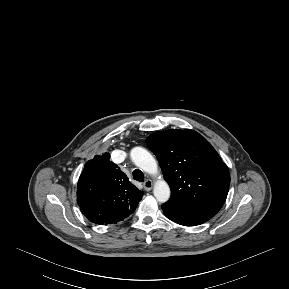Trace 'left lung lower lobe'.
Instances as JSON below:
<instances>
[{"mask_svg": "<svg viewBox=\"0 0 289 289\" xmlns=\"http://www.w3.org/2000/svg\"><path fill=\"white\" fill-rule=\"evenodd\" d=\"M162 209L167 218L183 226L200 225L213 217L205 211L168 201L162 205Z\"/></svg>", "mask_w": 289, "mask_h": 289, "instance_id": "1", "label": "left lung lower lobe"}]
</instances>
